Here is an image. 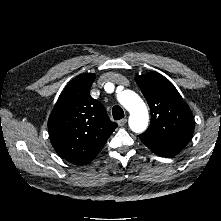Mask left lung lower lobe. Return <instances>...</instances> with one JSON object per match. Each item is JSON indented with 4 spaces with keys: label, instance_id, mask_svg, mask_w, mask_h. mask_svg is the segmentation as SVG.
Returning <instances> with one entry per match:
<instances>
[{
    "label": "left lung lower lobe",
    "instance_id": "left-lung-lower-lobe-1",
    "mask_svg": "<svg viewBox=\"0 0 221 221\" xmlns=\"http://www.w3.org/2000/svg\"><path fill=\"white\" fill-rule=\"evenodd\" d=\"M139 138L152 152L162 157L176 155L190 140L187 138H167L149 132L139 135Z\"/></svg>",
    "mask_w": 221,
    "mask_h": 221
}]
</instances>
